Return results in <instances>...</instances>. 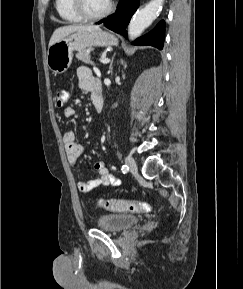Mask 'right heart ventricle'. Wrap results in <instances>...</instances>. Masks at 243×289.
I'll return each mask as SVG.
<instances>
[{
	"mask_svg": "<svg viewBox=\"0 0 243 289\" xmlns=\"http://www.w3.org/2000/svg\"><path fill=\"white\" fill-rule=\"evenodd\" d=\"M55 8L59 16L67 22L77 23L83 20L74 10L72 0H55Z\"/></svg>",
	"mask_w": 243,
	"mask_h": 289,
	"instance_id": "obj_1",
	"label": "right heart ventricle"
}]
</instances>
